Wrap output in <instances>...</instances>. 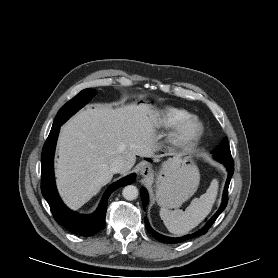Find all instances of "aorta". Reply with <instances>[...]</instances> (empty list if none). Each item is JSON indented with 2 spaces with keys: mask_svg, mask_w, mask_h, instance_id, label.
I'll list each match as a JSON object with an SVG mask.
<instances>
[{
  "mask_svg": "<svg viewBox=\"0 0 278 278\" xmlns=\"http://www.w3.org/2000/svg\"><path fill=\"white\" fill-rule=\"evenodd\" d=\"M122 195L128 201L135 200L138 197V189L134 185H128L123 188Z\"/></svg>",
  "mask_w": 278,
  "mask_h": 278,
  "instance_id": "aorta-1",
  "label": "aorta"
}]
</instances>
